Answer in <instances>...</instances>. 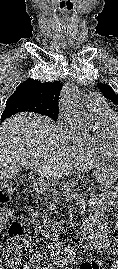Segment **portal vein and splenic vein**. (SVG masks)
I'll return each instance as SVG.
<instances>
[{
  "mask_svg": "<svg viewBox=\"0 0 118 269\" xmlns=\"http://www.w3.org/2000/svg\"><path fill=\"white\" fill-rule=\"evenodd\" d=\"M39 173H42L43 171L41 169L38 170ZM46 174H48L49 177H51V172L50 171H46Z\"/></svg>",
  "mask_w": 118,
  "mask_h": 269,
  "instance_id": "18ae733b",
  "label": "portal vein and splenic vein"
}]
</instances>
